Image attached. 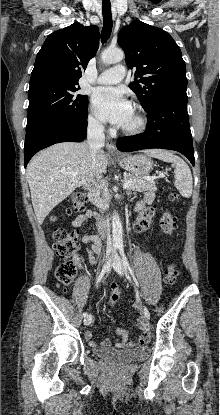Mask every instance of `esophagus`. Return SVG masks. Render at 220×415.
Segmentation results:
<instances>
[{"mask_svg": "<svg viewBox=\"0 0 220 415\" xmlns=\"http://www.w3.org/2000/svg\"><path fill=\"white\" fill-rule=\"evenodd\" d=\"M106 146L110 154H118L115 142L112 140L110 136H107L106 138Z\"/></svg>", "mask_w": 220, "mask_h": 415, "instance_id": "34e87169", "label": "esophagus"}]
</instances>
